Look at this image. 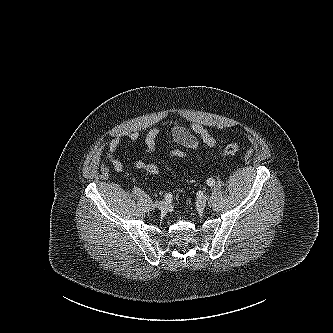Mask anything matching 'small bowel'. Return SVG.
<instances>
[{
    "instance_id": "small-bowel-1",
    "label": "small bowel",
    "mask_w": 333,
    "mask_h": 333,
    "mask_svg": "<svg viewBox=\"0 0 333 333\" xmlns=\"http://www.w3.org/2000/svg\"><path fill=\"white\" fill-rule=\"evenodd\" d=\"M159 132L157 126H152L148 130L145 137L146 154L150 155L155 151ZM166 135L171 142H176L193 151L199 149V139L210 148H214L217 144L216 138L198 122L191 123L189 128L182 125H176L168 131ZM138 139L139 134L137 132L130 133L127 137V144H133L137 142ZM121 144L122 139L119 136L112 137L108 144L107 157L116 172H121L123 170V163L116 157V152ZM132 165L137 170H145L147 164L142 160H136L132 162Z\"/></svg>"
}]
</instances>
